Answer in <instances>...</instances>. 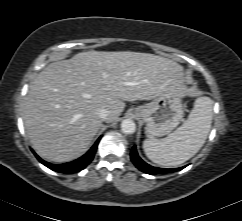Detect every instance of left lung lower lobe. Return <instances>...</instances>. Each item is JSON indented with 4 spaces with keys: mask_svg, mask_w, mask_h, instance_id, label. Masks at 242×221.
Listing matches in <instances>:
<instances>
[{
    "mask_svg": "<svg viewBox=\"0 0 242 221\" xmlns=\"http://www.w3.org/2000/svg\"><path fill=\"white\" fill-rule=\"evenodd\" d=\"M130 156H131L132 162L140 171L151 175L171 173L175 171H180L184 168V167H181V168H174V169H165V168H157V167L150 166L139 157L135 146L132 148Z\"/></svg>",
    "mask_w": 242,
    "mask_h": 221,
    "instance_id": "obj_1",
    "label": "left lung lower lobe"
}]
</instances>
